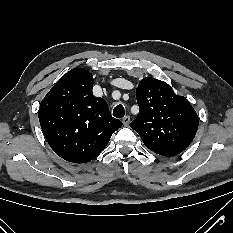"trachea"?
Wrapping results in <instances>:
<instances>
[{
    "mask_svg": "<svg viewBox=\"0 0 233 233\" xmlns=\"http://www.w3.org/2000/svg\"><path fill=\"white\" fill-rule=\"evenodd\" d=\"M125 115L124 107L120 104L113 109V116L116 118H123Z\"/></svg>",
    "mask_w": 233,
    "mask_h": 233,
    "instance_id": "trachea-1",
    "label": "trachea"
}]
</instances>
